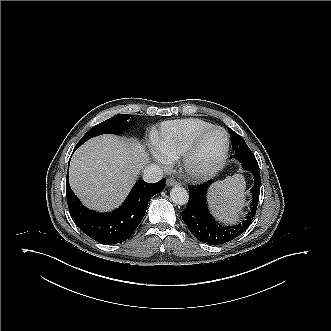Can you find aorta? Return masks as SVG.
Wrapping results in <instances>:
<instances>
[{
	"mask_svg": "<svg viewBox=\"0 0 331 331\" xmlns=\"http://www.w3.org/2000/svg\"><path fill=\"white\" fill-rule=\"evenodd\" d=\"M171 200L177 205H185L189 200V193L183 187L176 186L170 191Z\"/></svg>",
	"mask_w": 331,
	"mask_h": 331,
	"instance_id": "obj_1",
	"label": "aorta"
}]
</instances>
